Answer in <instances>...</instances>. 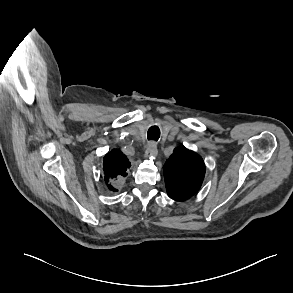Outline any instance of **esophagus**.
<instances>
[{"label":"esophagus","instance_id":"34e87169","mask_svg":"<svg viewBox=\"0 0 293 293\" xmlns=\"http://www.w3.org/2000/svg\"><path fill=\"white\" fill-rule=\"evenodd\" d=\"M158 153L157 151V145L155 142H149L147 145V148L145 150V157H153L156 156Z\"/></svg>","mask_w":293,"mask_h":293}]
</instances>
